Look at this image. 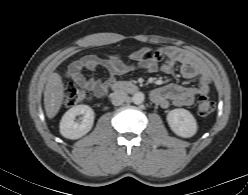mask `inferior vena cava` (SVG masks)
I'll return each mask as SVG.
<instances>
[{
    "instance_id": "inferior-vena-cava-1",
    "label": "inferior vena cava",
    "mask_w": 248,
    "mask_h": 195,
    "mask_svg": "<svg viewBox=\"0 0 248 195\" xmlns=\"http://www.w3.org/2000/svg\"><path fill=\"white\" fill-rule=\"evenodd\" d=\"M126 98H127L126 92L120 89L115 90L111 94V102L115 106L121 105L123 102H125Z\"/></svg>"
}]
</instances>
